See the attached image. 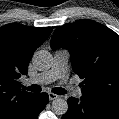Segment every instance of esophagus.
<instances>
[{
	"mask_svg": "<svg viewBox=\"0 0 119 119\" xmlns=\"http://www.w3.org/2000/svg\"><path fill=\"white\" fill-rule=\"evenodd\" d=\"M57 98H59V95H56V94H54V93H49V100H55V99H57Z\"/></svg>",
	"mask_w": 119,
	"mask_h": 119,
	"instance_id": "esophagus-1",
	"label": "esophagus"
}]
</instances>
